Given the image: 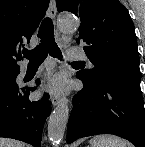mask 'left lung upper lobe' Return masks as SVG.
<instances>
[{
  "mask_svg": "<svg viewBox=\"0 0 145 147\" xmlns=\"http://www.w3.org/2000/svg\"><path fill=\"white\" fill-rule=\"evenodd\" d=\"M59 12L81 20L78 42L94 68L77 73L94 82L114 70H138L137 37L128 10L118 0H56Z\"/></svg>",
  "mask_w": 145,
  "mask_h": 147,
  "instance_id": "obj_1",
  "label": "left lung upper lobe"
}]
</instances>
